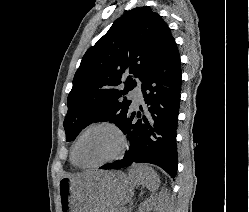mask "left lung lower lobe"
I'll use <instances>...</instances> for the list:
<instances>
[{
    "label": "left lung lower lobe",
    "mask_w": 249,
    "mask_h": 212,
    "mask_svg": "<svg viewBox=\"0 0 249 212\" xmlns=\"http://www.w3.org/2000/svg\"><path fill=\"white\" fill-rule=\"evenodd\" d=\"M145 108L131 111L119 127L129 140L121 160L100 169H120L133 162L158 165L172 178L177 174L176 129L181 92V64L175 41L169 43L142 81ZM139 118L137 121L134 118Z\"/></svg>",
    "instance_id": "obj_1"
}]
</instances>
